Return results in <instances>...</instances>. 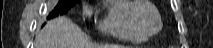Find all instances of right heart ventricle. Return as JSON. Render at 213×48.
Returning <instances> with one entry per match:
<instances>
[{
  "instance_id": "e07e8e85",
  "label": "right heart ventricle",
  "mask_w": 213,
  "mask_h": 48,
  "mask_svg": "<svg viewBox=\"0 0 213 48\" xmlns=\"http://www.w3.org/2000/svg\"><path fill=\"white\" fill-rule=\"evenodd\" d=\"M135 1L113 0L107 4L99 29L119 40L144 42L147 37L139 33L132 24L130 13Z\"/></svg>"
}]
</instances>
